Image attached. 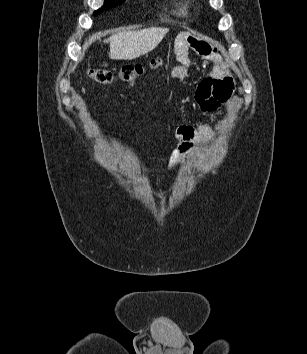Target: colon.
<instances>
[{
	"label": "colon",
	"mask_w": 307,
	"mask_h": 354,
	"mask_svg": "<svg viewBox=\"0 0 307 354\" xmlns=\"http://www.w3.org/2000/svg\"><path fill=\"white\" fill-rule=\"evenodd\" d=\"M160 64V58H153L147 64L127 65L122 67L118 72L101 67L91 68L88 70V75L93 81L100 84H111L116 80L132 84L148 69H155Z\"/></svg>",
	"instance_id": "1"
}]
</instances>
